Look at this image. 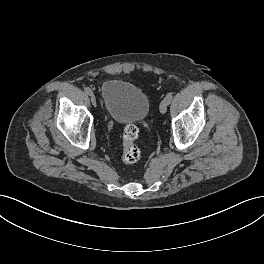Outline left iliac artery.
I'll list each match as a JSON object with an SVG mask.
<instances>
[{
  "label": "left iliac artery",
  "instance_id": "1",
  "mask_svg": "<svg viewBox=\"0 0 264 264\" xmlns=\"http://www.w3.org/2000/svg\"><path fill=\"white\" fill-rule=\"evenodd\" d=\"M173 98V94L172 93H168L165 97V100L168 102V104L171 102Z\"/></svg>",
  "mask_w": 264,
  "mask_h": 264
}]
</instances>
